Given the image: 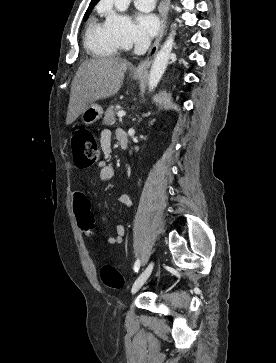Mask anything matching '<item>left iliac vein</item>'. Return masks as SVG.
<instances>
[{"label":"left iliac vein","instance_id":"1","mask_svg":"<svg viewBox=\"0 0 276 363\" xmlns=\"http://www.w3.org/2000/svg\"><path fill=\"white\" fill-rule=\"evenodd\" d=\"M154 267V262L151 261L148 266L145 268V270L139 275V277L135 280L133 286H132V293L137 292L142 285L146 282L150 274L152 273Z\"/></svg>","mask_w":276,"mask_h":363}]
</instances>
